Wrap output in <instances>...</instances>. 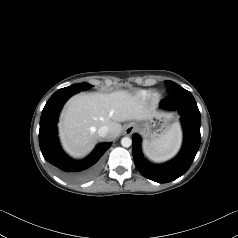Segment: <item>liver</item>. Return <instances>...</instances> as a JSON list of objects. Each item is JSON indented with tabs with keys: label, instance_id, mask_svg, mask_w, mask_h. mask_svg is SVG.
Segmentation results:
<instances>
[{
	"label": "liver",
	"instance_id": "liver-1",
	"mask_svg": "<svg viewBox=\"0 0 238 238\" xmlns=\"http://www.w3.org/2000/svg\"><path fill=\"white\" fill-rule=\"evenodd\" d=\"M156 114L137 96L121 90L110 94H78L70 98L61 115L59 136L65 151L73 157H82L94 147L97 130L107 126L108 139L116 138L120 122L145 121Z\"/></svg>",
	"mask_w": 238,
	"mask_h": 238
}]
</instances>
